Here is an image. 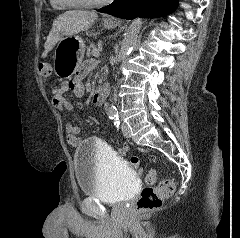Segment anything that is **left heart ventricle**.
Masks as SVG:
<instances>
[{
	"instance_id": "b2bd125f",
	"label": "left heart ventricle",
	"mask_w": 240,
	"mask_h": 238,
	"mask_svg": "<svg viewBox=\"0 0 240 238\" xmlns=\"http://www.w3.org/2000/svg\"><path fill=\"white\" fill-rule=\"evenodd\" d=\"M67 1H77V2L91 3V2H96V1H99V0H67Z\"/></svg>"
}]
</instances>
